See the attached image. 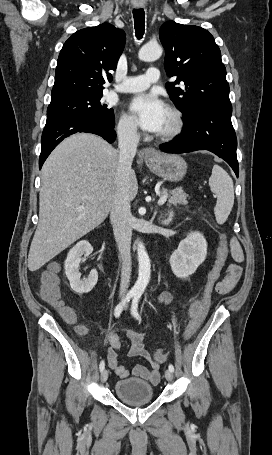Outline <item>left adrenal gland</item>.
<instances>
[{
    "label": "left adrenal gland",
    "mask_w": 272,
    "mask_h": 455,
    "mask_svg": "<svg viewBox=\"0 0 272 455\" xmlns=\"http://www.w3.org/2000/svg\"><path fill=\"white\" fill-rule=\"evenodd\" d=\"M155 214H156V212H155ZM166 215H168V218L161 222V224H163V225H168L170 223V221L172 220V217H173V212L168 211V213Z\"/></svg>",
    "instance_id": "a2214340"
}]
</instances>
